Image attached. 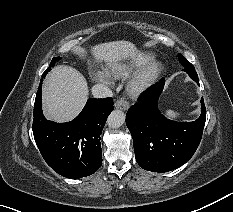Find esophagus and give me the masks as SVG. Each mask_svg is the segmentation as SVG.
I'll list each match as a JSON object with an SVG mask.
<instances>
[{"label":"esophagus","instance_id":"esophagus-1","mask_svg":"<svg viewBox=\"0 0 233 212\" xmlns=\"http://www.w3.org/2000/svg\"><path fill=\"white\" fill-rule=\"evenodd\" d=\"M115 108L126 111L129 109V103L124 99H119L115 102Z\"/></svg>","mask_w":233,"mask_h":212}]
</instances>
